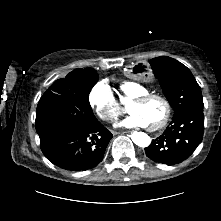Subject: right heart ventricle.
<instances>
[{"label": "right heart ventricle", "instance_id": "e07e8e85", "mask_svg": "<svg viewBox=\"0 0 221 221\" xmlns=\"http://www.w3.org/2000/svg\"><path fill=\"white\" fill-rule=\"evenodd\" d=\"M119 91L122 100H133L136 97L150 93L149 89L144 85L132 80L121 82L119 84Z\"/></svg>", "mask_w": 221, "mask_h": 221}]
</instances>
